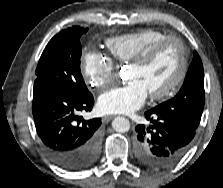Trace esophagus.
<instances>
[{
  "mask_svg": "<svg viewBox=\"0 0 223 188\" xmlns=\"http://www.w3.org/2000/svg\"><path fill=\"white\" fill-rule=\"evenodd\" d=\"M114 118V116L112 115H109V116H105L102 118L103 122L107 123L109 122L110 120H112Z\"/></svg>",
  "mask_w": 223,
  "mask_h": 188,
  "instance_id": "esophagus-1",
  "label": "esophagus"
}]
</instances>
